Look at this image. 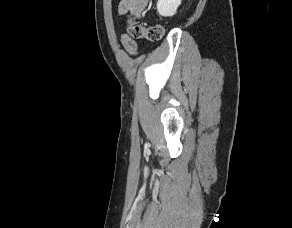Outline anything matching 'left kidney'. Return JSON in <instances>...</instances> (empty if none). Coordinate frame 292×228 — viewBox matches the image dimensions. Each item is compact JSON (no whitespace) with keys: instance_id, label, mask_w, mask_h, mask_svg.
<instances>
[{"instance_id":"5707ae66","label":"left kidney","mask_w":292,"mask_h":228,"mask_svg":"<svg viewBox=\"0 0 292 228\" xmlns=\"http://www.w3.org/2000/svg\"><path fill=\"white\" fill-rule=\"evenodd\" d=\"M182 0H158L157 11L160 15L168 17L173 16Z\"/></svg>"}]
</instances>
